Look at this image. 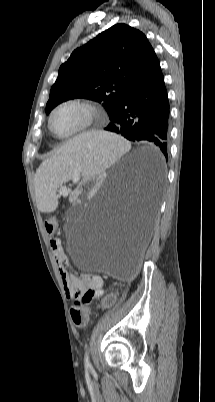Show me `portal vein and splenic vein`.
<instances>
[{
    "mask_svg": "<svg viewBox=\"0 0 215 402\" xmlns=\"http://www.w3.org/2000/svg\"><path fill=\"white\" fill-rule=\"evenodd\" d=\"M74 176H75V177H78V174H75Z\"/></svg>",
    "mask_w": 215,
    "mask_h": 402,
    "instance_id": "obj_1",
    "label": "portal vein and splenic vein"
}]
</instances>
